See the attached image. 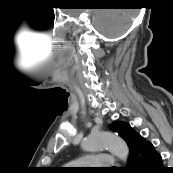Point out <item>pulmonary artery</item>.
Masks as SVG:
<instances>
[{
    "label": "pulmonary artery",
    "mask_w": 173,
    "mask_h": 173,
    "mask_svg": "<svg viewBox=\"0 0 173 173\" xmlns=\"http://www.w3.org/2000/svg\"><path fill=\"white\" fill-rule=\"evenodd\" d=\"M72 166H88L90 168H106L115 165L113 156L109 154L82 157L70 163Z\"/></svg>",
    "instance_id": "e3ab8cb5"
}]
</instances>
